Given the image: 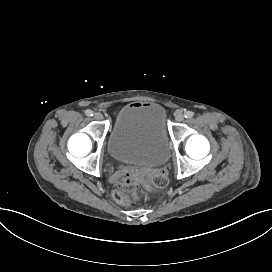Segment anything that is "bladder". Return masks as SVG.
<instances>
[{
	"mask_svg": "<svg viewBox=\"0 0 272 272\" xmlns=\"http://www.w3.org/2000/svg\"><path fill=\"white\" fill-rule=\"evenodd\" d=\"M109 155L121 162L155 168L167 163L165 111L159 104L127 105L116 116L106 139Z\"/></svg>",
	"mask_w": 272,
	"mask_h": 272,
	"instance_id": "bladder-1",
	"label": "bladder"
}]
</instances>
